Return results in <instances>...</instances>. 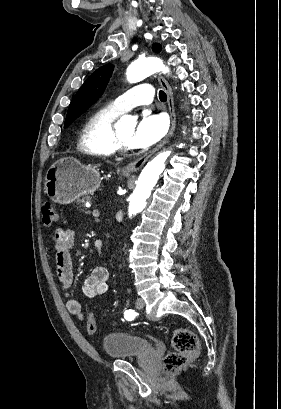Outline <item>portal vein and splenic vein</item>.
<instances>
[{"label":"portal vein and splenic vein","instance_id":"obj_1","mask_svg":"<svg viewBox=\"0 0 281 409\" xmlns=\"http://www.w3.org/2000/svg\"><path fill=\"white\" fill-rule=\"evenodd\" d=\"M101 207L100 206H95L94 211H93V216L95 219H100L101 218Z\"/></svg>","mask_w":281,"mask_h":409}]
</instances>
